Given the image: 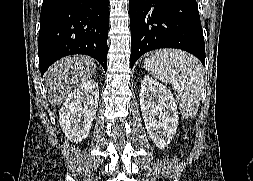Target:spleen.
<instances>
[{"mask_svg":"<svg viewBox=\"0 0 253 181\" xmlns=\"http://www.w3.org/2000/svg\"><path fill=\"white\" fill-rule=\"evenodd\" d=\"M144 68L154 78L172 84L184 117L197 113L203 86V67L197 58L180 50L162 49L147 54Z\"/></svg>","mask_w":253,"mask_h":181,"instance_id":"obj_1","label":"spleen"}]
</instances>
